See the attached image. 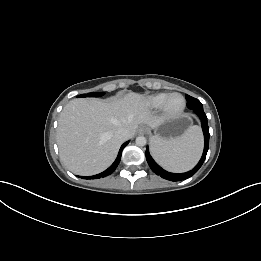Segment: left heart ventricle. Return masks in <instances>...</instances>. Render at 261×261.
I'll return each instance as SVG.
<instances>
[{
    "instance_id": "b2bd125f",
    "label": "left heart ventricle",
    "mask_w": 261,
    "mask_h": 261,
    "mask_svg": "<svg viewBox=\"0 0 261 261\" xmlns=\"http://www.w3.org/2000/svg\"><path fill=\"white\" fill-rule=\"evenodd\" d=\"M181 105H182V99L179 96H174L169 102V107L171 110H176L180 108Z\"/></svg>"
}]
</instances>
